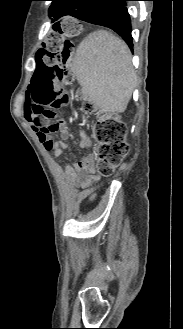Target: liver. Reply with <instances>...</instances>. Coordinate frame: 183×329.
<instances>
[{
	"instance_id": "obj_1",
	"label": "liver",
	"mask_w": 183,
	"mask_h": 329,
	"mask_svg": "<svg viewBox=\"0 0 183 329\" xmlns=\"http://www.w3.org/2000/svg\"><path fill=\"white\" fill-rule=\"evenodd\" d=\"M71 71L83 95L101 113L126 110L136 74L131 52L120 38L106 30L90 33L79 44Z\"/></svg>"
}]
</instances>
